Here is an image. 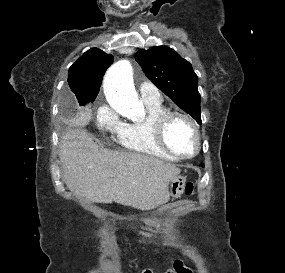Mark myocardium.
<instances>
[{"instance_id": "1", "label": "myocardium", "mask_w": 285, "mask_h": 273, "mask_svg": "<svg viewBox=\"0 0 285 273\" xmlns=\"http://www.w3.org/2000/svg\"><path fill=\"white\" fill-rule=\"evenodd\" d=\"M175 117H181L184 120H186L194 132L195 139H196V147H195V150L191 154H182V153H179V152L173 150L169 146V144L166 140V136H165L166 128H167L169 122ZM154 134H155V138H156L157 142L160 144V146L164 150H166L168 153L175 156L176 158H184V159L192 158V157L196 156L201 149V134H200L199 126L196 123V121L189 114H187L183 111L167 110L163 114L159 115L154 122Z\"/></svg>"}]
</instances>
